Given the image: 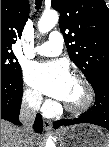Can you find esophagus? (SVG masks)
I'll return each mask as SVG.
<instances>
[{"label": "esophagus", "mask_w": 109, "mask_h": 147, "mask_svg": "<svg viewBox=\"0 0 109 147\" xmlns=\"http://www.w3.org/2000/svg\"><path fill=\"white\" fill-rule=\"evenodd\" d=\"M43 125L45 129H51L52 128V122L50 120L44 119Z\"/></svg>", "instance_id": "34e87169"}]
</instances>
